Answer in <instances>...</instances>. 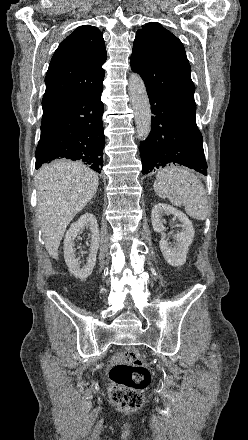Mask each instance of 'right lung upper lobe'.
<instances>
[{"instance_id": "obj_1", "label": "right lung upper lobe", "mask_w": 248, "mask_h": 440, "mask_svg": "<svg viewBox=\"0 0 248 440\" xmlns=\"http://www.w3.org/2000/svg\"><path fill=\"white\" fill-rule=\"evenodd\" d=\"M106 56L102 33L94 26L78 27L59 45L51 59L45 77L43 108L100 90Z\"/></svg>"}]
</instances>
